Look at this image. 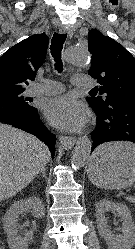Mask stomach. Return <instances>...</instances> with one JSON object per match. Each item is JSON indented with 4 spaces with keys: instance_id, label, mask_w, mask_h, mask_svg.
I'll return each instance as SVG.
<instances>
[{
    "instance_id": "1",
    "label": "stomach",
    "mask_w": 135,
    "mask_h": 249,
    "mask_svg": "<svg viewBox=\"0 0 135 249\" xmlns=\"http://www.w3.org/2000/svg\"><path fill=\"white\" fill-rule=\"evenodd\" d=\"M116 143L100 146L88 163L89 179L104 189H124L135 182V145L131 151L116 148Z\"/></svg>"
}]
</instances>
